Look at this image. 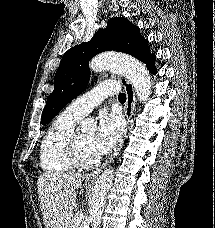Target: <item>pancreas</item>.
I'll use <instances>...</instances> for the list:
<instances>
[{"label": "pancreas", "mask_w": 215, "mask_h": 228, "mask_svg": "<svg viewBox=\"0 0 215 228\" xmlns=\"http://www.w3.org/2000/svg\"><path fill=\"white\" fill-rule=\"evenodd\" d=\"M72 228H79V222H72Z\"/></svg>", "instance_id": "1"}]
</instances>
